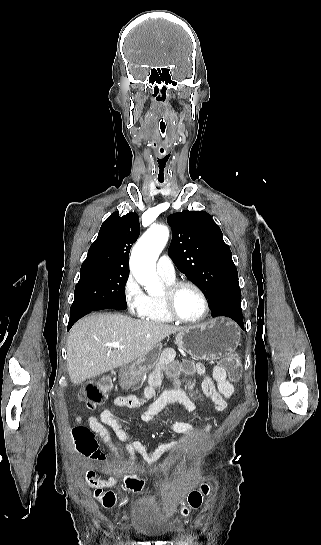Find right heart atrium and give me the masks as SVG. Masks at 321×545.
<instances>
[{"mask_svg":"<svg viewBox=\"0 0 321 545\" xmlns=\"http://www.w3.org/2000/svg\"><path fill=\"white\" fill-rule=\"evenodd\" d=\"M121 293L129 313L136 317H142L148 306V297L132 273L125 277Z\"/></svg>","mask_w":321,"mask_h":545,"instance_id":"obj_1","label":"right heart atrium"}]
</instances>
